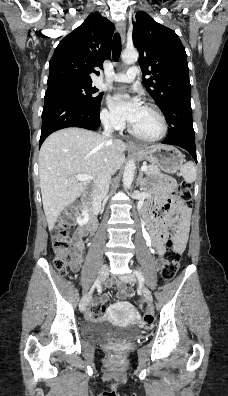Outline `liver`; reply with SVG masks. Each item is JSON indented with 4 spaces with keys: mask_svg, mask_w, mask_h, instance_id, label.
Instances as JSON below:
<instances>
[{
    "mask_svg": "<svg viewBox=\"0 0 228 396\" xmlns=\"http://www.w3.org/2000/svg\"><path fill=\"white\" fill-rule=\"evenodd\" d=\"M147 147V149L152 148ZM127 145L83 128H66L51 134L39 153V179L43 209L51 231L65 207L81 196L90 181L114 174L124 163Z\"/></svg>",
    "mask_w": 228,
    "mask_h": 396,
    "instance_id": "1",
    "label": "liver"
}]
</instances>
